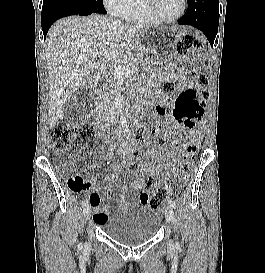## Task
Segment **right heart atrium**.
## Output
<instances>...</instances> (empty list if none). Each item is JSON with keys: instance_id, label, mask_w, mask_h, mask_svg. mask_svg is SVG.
I'll return each mask as SVG.
<instances>
[{"instance_id": "obj_1", "label": "right heart atrium", "mask_w": 265, "mask_h": 273, "mask_svg": "<svg viewBox=\"0 0 265 273\" xmlns=\"http://www.w3.org/2000/svg\"><path fill=\"white\" fill-rule=\"evenodd\" d=\"M104 7L113 15L120 16L130 5L131 0H102Z\"/></svg>"}]
</instances>
